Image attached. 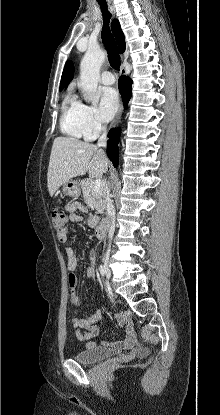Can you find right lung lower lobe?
I'll return each instance as SVG.
<instances>
[{"instance_id":"98d812e1","label":"right lung lower lobe","mask_w":220,"mask_h":415,"mask_svg":"<svg viewBox=\"0 0 220 415\" xmlns=\"http://www.w3.org/2000/svg\"><path fill=\"white\" fill-rule=\"evenodd\" d=\"M133 81L127 76H121L118 81L119 91L122 95L124 106L127 107L128 101L132 94ZM107 156L112 161L114 167L118 165V143L120 138L119 129H111L108 134Z\"/></svg>"}]
</instances>
